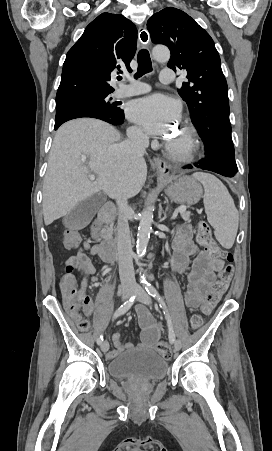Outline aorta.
<instances>
[{
	"mask_svg": "<svg viewBox=\"0 0 272 451\" xmlns=\"http://www.w3.org/2000/svg\"><path fill=\"white\" fill-rule=\"evenodd\" d=\"M152 56L154 60H157V62H166V60H169L170 58V52L166 46H162V48H158V46H156V48H153L152 50ZM152 222L153 212L152 208L148 206L146 210H143L140 216V224L138 227L136 241L137 253H143L148 245Z\"/></svg>",
	"mask_w": 272,
	"mask_h": 451,
	"instance_id": "obj_1",
	"label": "aorta"
}]
</instances>
